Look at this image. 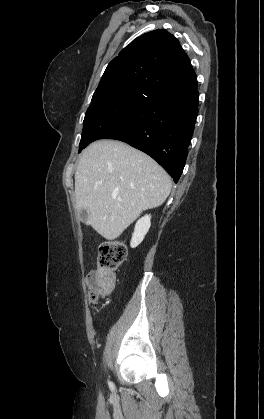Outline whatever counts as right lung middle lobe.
Masks as SVG:
<instances>
[{
  "mask_svg": "<svg viewBox=\"0 0 264 419\" xmlns=\"http://www.w3.org/2000/svg\"><path fill=\"white\" fill-rule=\"evenodd\" d=\"M153 95L148 90L128 84L96 89L85 114L79 152L124 122L143 101Z\"/></svg>",
  "mask_w": 264,
  "mask_h": 419,
  "instance_id": "obj_1",
  "label": "right lung middle lobe"
}]
</instances>
